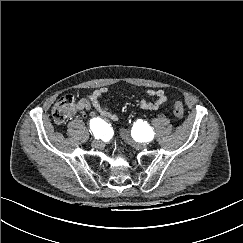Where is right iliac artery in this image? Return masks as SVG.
<instances>
[{
	"mask_svg": "<svg viewBox=\"0 0 243 243\" xmlns=\"http://www.w3.org/2000/svg\"><path fill=\"white\" fill-rule=\"evenodd\" d=\"M106 123L100 119V118H95L92 119L90 123V128L95 136V138L99 139L102 135V131L104 128H106Z\"/></svg>",
	"mask_w": 243,
	"mask_h": 243,
	"instance_id": "right-iliac-artery-1",
	"label": "right iliac artery"
}]
</instances>
